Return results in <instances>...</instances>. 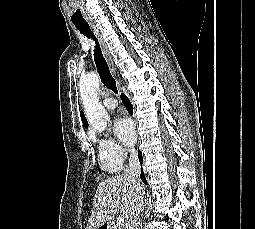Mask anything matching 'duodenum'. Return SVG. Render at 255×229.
<instances>
[{
	"label": "duodenum",
	"mask_w": 255,
	"mask_h": 229,
	"mask_svg": "<svg viewBox=\"0 0 255 229\" xmlns=\"http://www.w3.org/2000/svg\"><path fill=\"white\" fill-rule=\"evenodd\" d=\"M99 229H111V226L109 224L105 223V224L101 225Z\"/></svg>",
	"instance_id": "1"
}]
</instances>
